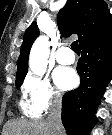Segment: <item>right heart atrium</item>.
Returning <instances> with one entry per match:
<instances>
[{
    "instance_id": "d8ad5b80",
    "label": "right heart atrium",
    "mask_w": 112,
    "mask_h": 135,
    "mask_svg": "<svg viewBox=\"0 0 112 135\" xmlns=\"http://www.w3.org/2000/svg\"><path fill=\"white\" fill-rule=\"evenodd\" d=\"M23 93L30 106L39 114L58 106L62 99L60 92L53 87L48 78L32 74L24 81Z\"/></svg>"
}]
</instances>
